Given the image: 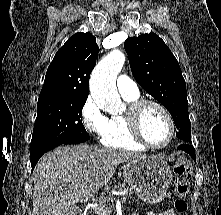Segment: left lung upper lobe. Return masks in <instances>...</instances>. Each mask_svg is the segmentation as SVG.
<instances>
[{
    "mask_svg": "<svg viewBox=\"0 0 221 215\" xmlns=\"http://www.w3.org/2000/svg\"><path fill=\"white\" fill-rule=\"evenodd\" d=\"M124 48L136 81L171 113L176 136L190 142L186 84L171 50L155 33L128 38Z\"/></svg>",
    "mask_w": 221,
    "mask_h": 215,
    "instance_id": "1",
    "label": "left lung upper lobe"
}]
</instances>
